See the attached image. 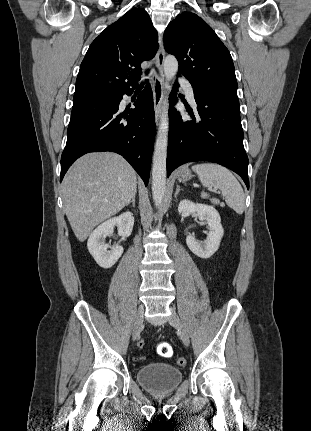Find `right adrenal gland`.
Instances as JSON below:
<instances>
[{
    "instance_id": "1",
    "label": "right adrenal gland",
    "mask_w": 311,
    "mask_h": 431,
    "mask_svg": "<svg viewBox=\"0 0 311 431\" xmlns=\"http://www.w3.org/2000/svg\"><path fill=\"white\" fill-rule=\"evenodd\" d=\"M135 198L136 196H133V198H131L129 204H132L133 208H135ZM129 204H127V206H129Z\"/></svg>"
}]
</instances>
